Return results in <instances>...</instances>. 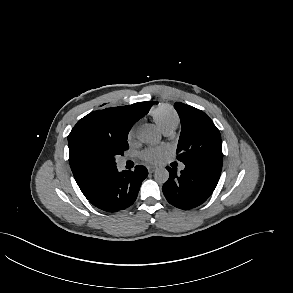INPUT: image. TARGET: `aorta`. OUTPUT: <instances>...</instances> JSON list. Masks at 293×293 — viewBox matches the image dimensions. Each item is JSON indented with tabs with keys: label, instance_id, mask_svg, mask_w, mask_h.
Masks as SVG:
<instances>
[{
	"label": "aorta",
	"instance_id": "762f6f07",
	"mask_svg": "<svg viewBox=\"0 0 293 293\" xmlns=\"http://www.w3.org/2000/svg\"><path fill=\"white\" fill-rule=\"evenodd\" d=\"M138 139L143 143L155 145L160 141L161 135L154 127L147 125L139 130ZM154 178L158 183H165L169 178V172L166 168H158Z\"/></svg>",
	"mask_w": 293,
	"mask_h": 293
}]
</instances>
